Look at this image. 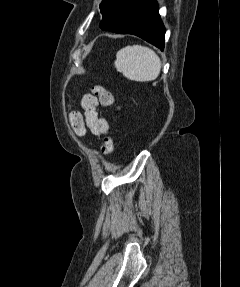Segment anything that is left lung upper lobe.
<instances>
[{
  "instance_id": "obj_1",
  "label": "left lung upper lobe",
  "mask_w": 240,
  "mask_h": 287,
  "mask_svg": "<svg viewBox=\"0 0 240 287\" xmlns=\"http://www.w3.org/2000/svg\"><path fill=\"white\" fill-rule=\"evenodd\" d=\"M107 1H108V0H103L102 3L100 4V10H101V12L103 11V9H104V7H105Z\"/></svg>"
}]
</instances>
